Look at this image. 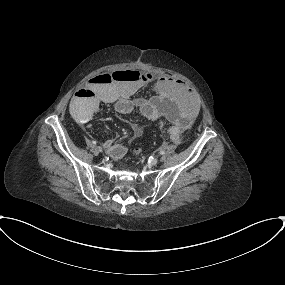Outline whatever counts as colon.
I'll list each match as a JSON object with an SVG mask.
<instances>
[{"label":"colon","instance_id":"1","mask_svg":"<svg viewBox=\"0 0 285 285\" xmlns=\"http://www.w3.org/2000/svg\"><path fill=\"white\" fill-rule=\"evenodd\" d=\"M116 78L118 79H124L130 82H136L140 79V73L136 72V71H126V72H121V73H117ZM105 77V82L109 83L111 80ZM135 155L137 157L141 156V150L139 148H137L135 150Z\"/></svg>","mask_w":285,"mask_h":285}]
</instances>
